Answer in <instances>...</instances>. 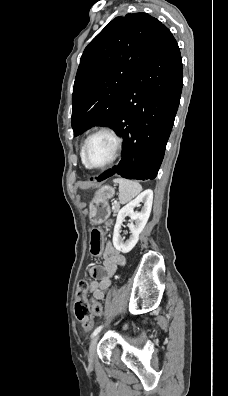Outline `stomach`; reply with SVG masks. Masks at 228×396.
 Here are the masks:
<instances>
[{
  "instance_id": "1",
  "label": "stomach",
  "mask_w": 228,
  "mask_h": 396,
  "mask_svg": "<svg viewBox=\"0 0 228 396\" xmlns=\"http://www.w3.org/2000/svg\"><path fill=\"white\" fill-rule=\"evenodd\" d=\"M115 191L110 186H102L95 192L89 204V218L94 225L103 223L111 213L108 201L114 196Z\"/></svg>"
}]
</instances>
